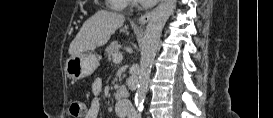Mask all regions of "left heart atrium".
Segmentation results:
<instances>
[{"label": "left heart atrium", "instance_id": "39dd6f15", "mask_svg": "<svg viewBox=\"0 0 273 118\" xmlns=\"http://www.w3.org/2000/svg\"><path fill=\"white\" fill-rule=\"evenodd\" d=\"M142 2H145V3H155L157 0H141Z\"/></svg>", "mask_w": 273, "mask_h": 118}]
</instances>
